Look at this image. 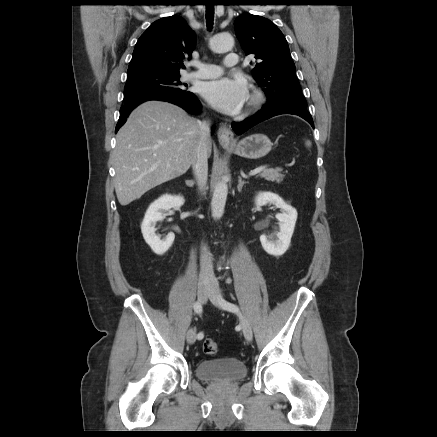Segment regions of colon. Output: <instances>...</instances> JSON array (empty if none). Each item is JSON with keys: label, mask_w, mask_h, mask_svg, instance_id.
Instances as JSON below:
<instances>
[{"label": "colon", "mask_w": 437, "mask_h": 437, "mask_svg": "<svg viewBox=\"0 0 437 437\" xmlns=\"http://www.w3.org/2000/svg\"><path fill=\"white\" fill-rule=\"evenodd\" d=\"M203 351L208 355L216 354L218 351V345L214 340L206 339L203 343Z\"/></svg>", "instance_id": "obj_1"}]
</instances>
